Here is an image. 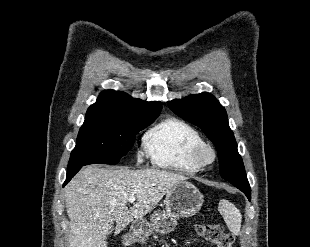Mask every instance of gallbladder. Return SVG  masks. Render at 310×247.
Here are the masks:
<instances>
[{"label":"gallbladder","instance_id":"obj_1","mask_svg":"<svg viewBox=\"0 0 310 247\" xmlns=\"http://www.w3.org/2000/svg\"><path fill=\"white\" fill-rule=\"evenodd\" d=\"M113 230H114L113 227H111V228L109 229V234L112 233Z\"/></svg>","mask_w":310,"mask_h":247}]
</instances>
